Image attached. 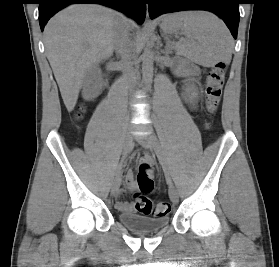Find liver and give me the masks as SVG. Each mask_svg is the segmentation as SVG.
I'll use <instances>...</instances> for the list:
<instances>
[{
    "label": "liver",
    "instance_id": "1",
    "mask_svg": "<svg viewBox=\"0 0 279 267\" xmlns=\"http://www.w3.org/2000/svg\"><path fill=\"white\" fill-rule=\"evenodd\" d=\"M123 15L95 4L71 5L45 29V50L67 110L74 109L88 70L114 50L115 27ZM130 27L132 21L127 19Z\"/></svg>",
    "mask_w": 279,
    "mask_h": 267
}]
</instances>
